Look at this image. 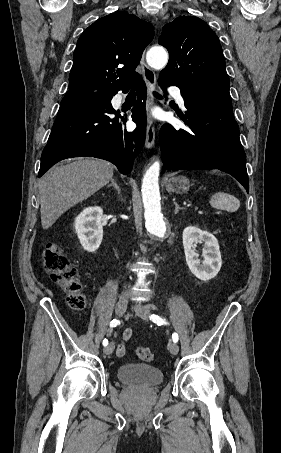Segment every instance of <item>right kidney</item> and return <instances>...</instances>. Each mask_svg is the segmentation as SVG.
<instances>
[{"instance_id":"obj_1","label":"right kidney","mask_w":281,"mask_h":453,"mask_svg":"<svg viewBox=\"0 0 281 453\" xmlns=\"http://www.w3.org/2000/svg\"><path fill=\"white\" fill-rule=\"evenodd\" d=\"M103 208L88 206L75 218L74 227L77 237L85 251L95 253L103 239Z\"/></svg>"}]
</instances>
